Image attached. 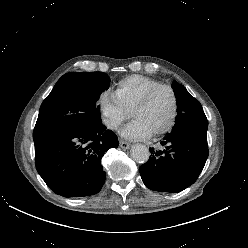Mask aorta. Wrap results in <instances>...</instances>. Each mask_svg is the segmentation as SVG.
Masks as SVG:
<instances>
[{
	"instance_id": "aorta-1",
	"label": "aorta",
	"mask_w": 248,
	"mask_h": 248,
	"mask_svg": "<svg viewBox=\"0 0 248 248\" xmlns=\"http://www.w3.org/2000/svg\"><path fill=\"white\" fill-rule=\"evenodd\" d=\"M131 157L138 163H146L150 157L149 149L143 144H135L131 148Z\"/></svg>"
}]
</instances>
